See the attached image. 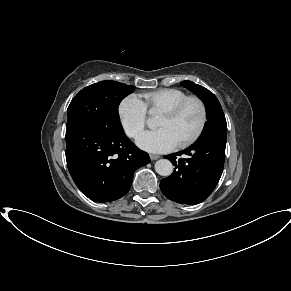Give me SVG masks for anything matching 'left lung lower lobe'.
I'll use <instances>...</instances> for the list:
<instances>
[{"instance_id":"0a47b994","label":"left lung lower lobe","mask_w":291,"mask_h":291,"mask_svg":"<svg viewBox=\"0 0 291 291\" xmlns=\"http://www.w3.org/2000/svg\"><path fill=\"white\" fill-rule=\"evenodd\" d=\"M225 146V137L210 136L198 139L184 151L165 156L175 168L169 177L161 180L162 193L180 204L195 205L204 201L222 175ZM182 155L186 158H180Z\"/></svg>"}]
</instances>
